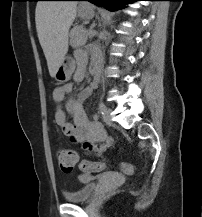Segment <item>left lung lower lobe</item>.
Returning a JSON list of instances; mask_svg holds the SVG:
<instances>
[{
	"mask_svg": "<svg viewBox=\"0 0 202 217\" xmlns=\"http://www.w3.org/2000/svg\"><path fill=\"white\" fill-rule=\"evenodd\" d=\"M89 1L97 6L104 7L108 10L116 11L123 9L127 3H132L139 0H83Z\"/></svg>",
	"mask_w": 202,
	"mask_h": 217,
	"instance_id": "left-lung-lower-lobe-1",
	"label": "left lung lower lobe"
}]
</instances>
